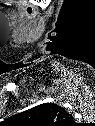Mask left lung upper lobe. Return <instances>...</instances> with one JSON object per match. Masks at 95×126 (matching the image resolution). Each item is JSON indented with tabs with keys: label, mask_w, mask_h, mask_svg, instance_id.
Returning a JSON list of instances; mask_svg holds the SVG:
<instances>
[{
	"label": "left lung upper lobe",
	"mask_w": 95,
	"mask_h": 126,
	"mask_svg": "<svg viewBox=\"0 0 95 126\" xmlns=\"http://www.w3.org/2000/svg\"><path fill=\"white\" fill-rule=\"evenodd\" d=\"M72 116L61 106L43 103L14 116L19 126H70Z\"/></svg>",
	"instance_id": "5c2ea615"
}]
</instances>
